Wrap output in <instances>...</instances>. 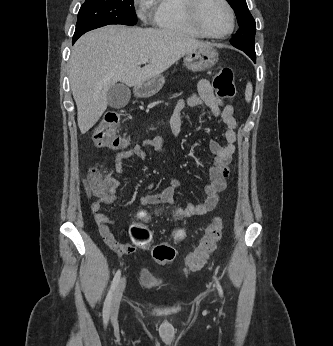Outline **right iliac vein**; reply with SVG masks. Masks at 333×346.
Returning a JSON list of instances; mask_svg holds the SVG:
<instances>
[{"label": "right iliac vein", "mask_w": 333, "mask_h": 346, "mask_svg": "<svg viewBox=\"0 0 333 346\" xmlns=\"http://www.w3.org/2000/svg\"><path fill=\"white\" fill-rule=\"evenodd\" d=\"M125 286H126V281L123 278L120 281L119 285L117 286V288L114 292V296H113V300H112V306H111V318H112V320H116V318L118 316L120 302H121V298H122Z\"/></svg>", "instance_id": "right-iliac-vein-1"}]
</instances>
